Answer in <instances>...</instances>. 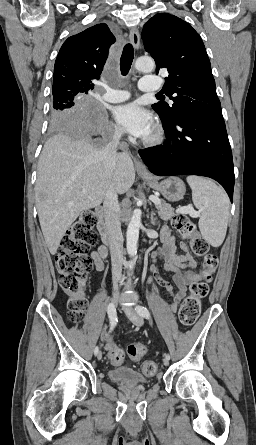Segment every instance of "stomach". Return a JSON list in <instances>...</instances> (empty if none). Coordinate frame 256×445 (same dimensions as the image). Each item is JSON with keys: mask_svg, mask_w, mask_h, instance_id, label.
<instances>
[{"mask_svg": "<svg viewBox=\"0 0 256 445\" xmlns=\"http://www.w3.org/2000/svg\"><path fill=\"white\" fill-rule=\"evenodd\" d=\"M148 185L160 192L164 198L171 202L181 200L186 192L183 181L178 177H169L161 182L155 179H147Z\"/></svg>", "mask_w": 256, "mask_h": 445, "instance_id": "1", "label": "stomach"}]
</instances>
